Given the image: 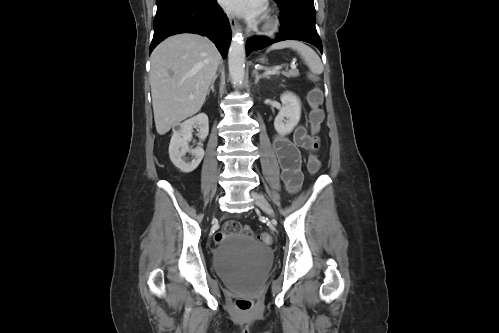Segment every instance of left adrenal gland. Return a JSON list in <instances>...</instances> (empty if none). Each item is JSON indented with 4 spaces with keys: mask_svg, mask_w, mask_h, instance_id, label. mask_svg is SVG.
Here are the masks:
<instances>
[{
    "mask_svg": "<svg viewBox=\"0 0 499 333\" xmlns=\"http://www.w3.org/2000/svg\"><path fill=\"white\" fill-rule=\"evenodd\" d=\"M253 75L255 76V84H257L259 80L262 78H269L268 76L265 75H259L257 70H253Z\"/></svg>",
    "mask_w": 499,
    "mask_h": 333,
    "instance_id": "1",
    "label": "left adrenal gland"
}]
</instances>
